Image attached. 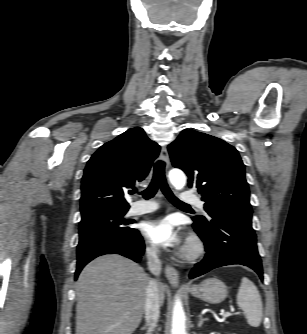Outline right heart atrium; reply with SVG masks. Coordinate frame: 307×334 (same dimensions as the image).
Segmentation results:
<instances>
[{
    "label": "right heart atrium",
    "instance_id": "d8ad5b80",
    "mask_svg": "<svg viewBox=\"0 0 307 334\" xmlns=\"http://www.w3.org/2000/svg\"><path fill=\"white\" fill-rule=\"evenodd\" d=\"M146 253L149 255V256H155L157 254V250L154 246L152 245H147L146 246Z\"/></svg>",
    "mask_w": 307,
    "mask_h": 334
}]
</instances>
